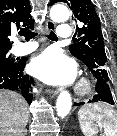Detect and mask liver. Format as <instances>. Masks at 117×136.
I'll return each instance as SVG.
<instances>
[{
  "instance_id": "1",
  "label": "liver",
  "mask_w": 117,
  "mask_h": 136,
  "mask_svg": "<svg viewBox=\"0 0 117 136\" xmlns=\"http://www.w3.org/2000/svg\"><path fill=\"white\" fill-rule=\"evenodd\" d=\"M28 119L26 100L18 93L0 90V136H23Z\"/></svg>"
}]
</instances>
